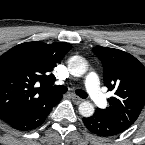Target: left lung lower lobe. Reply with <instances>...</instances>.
I'll list each match as a JSON object with an SVG mask.
<instances>
[{
  "label": "left lung lower lobe",
  "instance_id": "obj_1",
  "mask_svg": "<svg viewBox=\"0 0 145 145\" xmlns=\"http://www.w3.org/2000/svg\"><path fill=\"white\" fill-rule=\"evenodd\" d=\"M83 122L90 132L102 137L118 135L125 131L106 119L99 109H96L91 117L83 118Z\"/></svg>",
  "mask_w": 145,
  "mask_h": 145
}]
</instances>
